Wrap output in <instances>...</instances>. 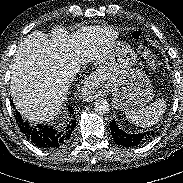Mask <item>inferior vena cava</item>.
Masks as SVG:
<instances>
[{
  "label": "inferior vena cava",
  "instance_id": "602c4592",
  "mask_svg": "<svg viewBox=\"0 0 183 183\" xmlns=\"http://www.w3.org/2000/svg\"><path fill=\"white\" fill-rule=\"evenodd\" d=\"M80 63L72 60L66 67V74L70 78H74L76 74L80 71Z\"/></svg>",
  "mask_w": 183,
  "mask_h": 183
}]
</instances>
